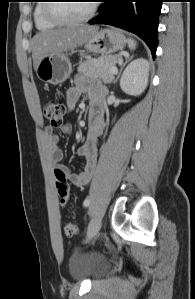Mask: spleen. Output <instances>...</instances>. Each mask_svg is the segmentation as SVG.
Instances as JSON below:
<instances>
[{
	"instance_id": "spleen-1",
	"label": "spleen",
	"mask_w": 195,
	"mask_h": 299,
	"mask_svg": "<svg viewBox=\"0 0 195 299\" xmlns=\"http://www.w3.org/2000/svg\"><path fill=\"white\" fill-rule=\"evenodd\" d=\"M127 42H128V47H129L130 50H135L136 49L137 42L134 39L128 38Z\"/></svg>"
}]
</instances>
